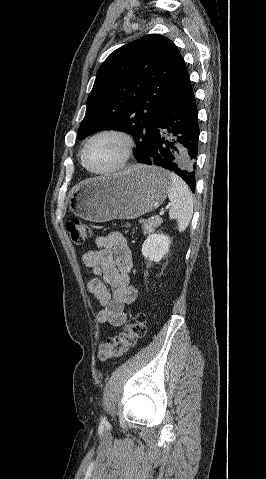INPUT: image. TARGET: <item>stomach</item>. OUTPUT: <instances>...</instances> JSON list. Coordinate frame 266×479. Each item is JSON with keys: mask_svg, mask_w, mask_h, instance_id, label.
I'll list each match as a JSON object with an SVG mask.
<instances>
[{"mask_svg": "<svg viewBox=\"0 0 266 479\" xmlns=\"http://www.w3.org/2000/svg\"><path fill=\"white\" fill-rule=\"evenodd\" d=\"M169 172L155 165L137 164L109 177L89 179L70 193V211L91 222L135 219L165 200Z\"/></svg>", "mask_w": 266, "mask_h": 479, "instance_id": "1", "label": "stomach"}]
</instances>
